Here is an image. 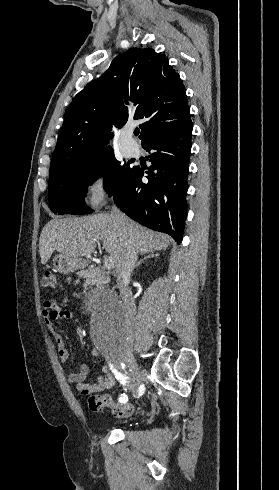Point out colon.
<instances>
[{
	"instance_id": "1",
	"label": "colon",
	"mask_w": 279,
	"mask_h": 490,
	"mask_svg": "<svg viewBox=\"0 0 279 490\" xmlns=\"http://www.w3.org/2000/svg\"><path fill=\"white\" fill-rule=\"evenodd\" d=\"M41 286L45 289H55L57 286L56 273L52 270H46L41 278ZM88 407L93 412L107 408L115 417L119 418L129 417L134 412L133 405L116 403L108 393L90 394Z\"/></svg>"
}]
</instances>
